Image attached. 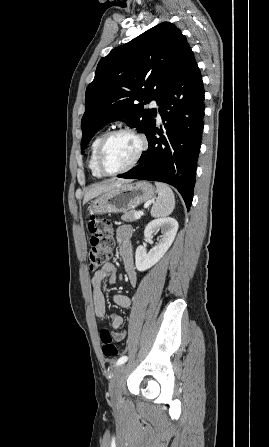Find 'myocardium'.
<instances>
[{"mask_svg":"<svg viewBox=\"0 0 269 447\" xmlns=\"http://www.w3.org/2000/svg\"><path fill=\"white\" fill-rule=\"evenodd\" d=\"M120 132H129V133L136 135L140 139V148H139L135 158L129 165H127L123 168H120V169L110 170V169L106 168V166L104 165V162H103L104 150H105L106 144L110 140V138L113 135L120 133ZM148 144H149V142H148V138H147L146 134L136 127L123 126V127H119V128L110 130L104 135V137L101 140V143L99 145L98 152H97V165H98L99 169L101 170V172L106 175H115V174L129 171L138 164V162L140 161V159L146 152V150L148 148Z\"/></svg>","mask_w":269,"mask_h":447,"instance_id":"obj_1","label":"myocardium"}]
</instances>
